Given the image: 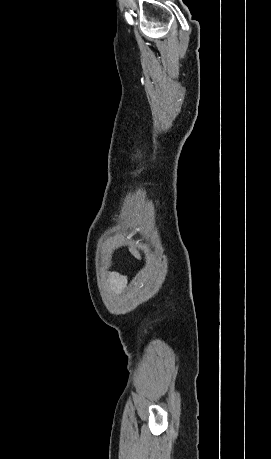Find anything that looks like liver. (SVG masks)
<instances>
[{
  "mask_svg": "<svg viewBox=\"0 0 271 459\" xmlns=\"http://www.w3.org/2000/svg\"><path fill=\"white\" fill-rule=\"evenodd\" d=\"M130 251H131V253H133V255H135V257H137V259H141V255H140L139 251H137V249H135V247H130Z\"/></svg>",
  "mask_w": 271,
  "mask_h": 459,
  "instance_id": "1",
  "label": "liver"
}]
</instances>
